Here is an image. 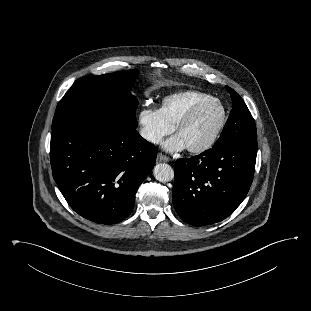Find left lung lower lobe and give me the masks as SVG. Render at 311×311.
Wrapping results in <instances>:
<instances>
[{
    "mask_svg": "<svg viewBox=\"0 0 311 311\" xmlns=\"http://www.w3.org/2000/svg\"><path fill=\"white\" fill-rule=\"evenodd\" d=\"M256 154V140H239L178 159L172 199L180 218L205 226L232 214L249 191Z\"/></svg>",
    "mask_w": 311,
    "mask_h": 311,
    "instance_id": "1",
    "label": "left lung lower lobe"
}]
</instances>
